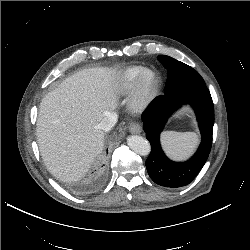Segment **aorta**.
Listing matches in <instances>:
<instances>
[{
  "label": "aorta",
  "mask_w": 250,
  "mask_h": 250,
  "mask_svg": "<svg viewBox=\"0 0 250 250\" xmlns=\"http://www.w3.org/2000/svg\"><path fill=\"white\" fill-rule=\"evenodd\" d=\"M128 146L137 154L146 156L151 151V145L147 139L139 135H131L127 138Z\"/></svg>",
  "instance_id": "1"
}]
</instances>
